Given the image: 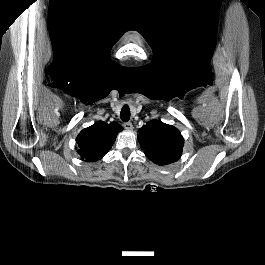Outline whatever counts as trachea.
Returning a JSON list of instances; mask_svg holds the SVG:
<instances>
[{"label": "trachea", "mask_w": 265, "mask_h": 265, "mask_svg": "<svg viewBox=\"0 0 265 265\" xmlns=\"http://www.w3.org/2000/svg\"><path fill=\"white\" fill-rule=\"evenodd\" d=\"M120 118L124 122H127L130 119V109L128 105H124L121 109Z\"/></svg>", "instance_id": "3493384b"}]
</instances>
